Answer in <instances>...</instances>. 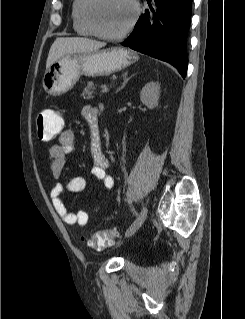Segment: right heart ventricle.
<instances>
[{
    "mask_svg": "<svg viewBox=\"0 0 245 319\" xmlns=\"http://www.w3.org/2000/svg\"><path fill=\"white\" fill-rule=\"evenodd\" d=\"M88 0H72L71 19L75 32L82 36H94L95 33L87 22L85 6Z\"/></svg>",
    "mask_w": 245,
    "mask_h": 319,
    "instance_id": "right-heart-ventricle-1",
    "label": "right heart ventricle"
}]
</instances>
